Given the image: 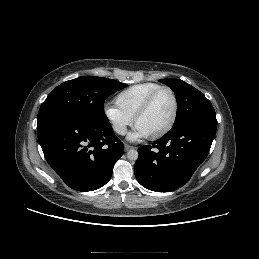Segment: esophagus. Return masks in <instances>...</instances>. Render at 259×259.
Masks as SVG:
<instances>
[{
    "label": "esophagus",
    "instance_id": "34e87169",
    "mask_svg": "<svg viewBox=\"0 0 259 259\" xmlns=\"http://www.w3.org/2000/svg\"><path fill=\"white\" fill-rule=\"evenodd\" d=\"M124 148H125V151H128L130 149H133L134 147L131 145L125 144Z\"/></svg>",
    "mask_w": 259,
    "mask_h": 259
}]
</instances>
